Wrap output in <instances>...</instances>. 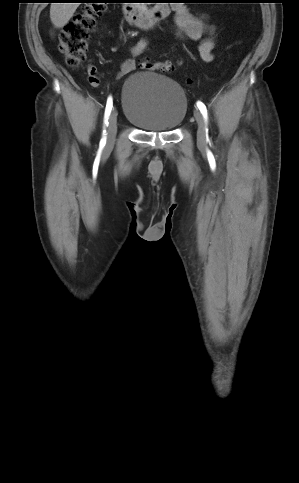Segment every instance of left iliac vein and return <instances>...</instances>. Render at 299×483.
<instances>
[{
    "mask_svg": "<svg viewBox=\"0 0 299 483\" xmlns=\"http://www.w3.org/2000/svg\"><path fill=\"white\" fill-rule=\"evenodd\" d=\"M194 117L197 123V142L203 144L205 142V128L202 115L198 109L194 110Z\"/></svg>",
    "mask_w": 299,
    "mask_h": 483,
    "instance_id": "1",
    "label": "left iliac vein"
}]
</instances>
